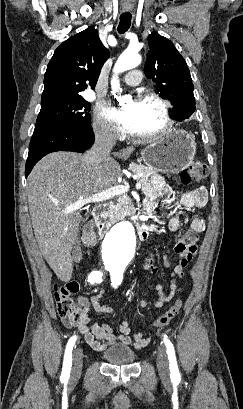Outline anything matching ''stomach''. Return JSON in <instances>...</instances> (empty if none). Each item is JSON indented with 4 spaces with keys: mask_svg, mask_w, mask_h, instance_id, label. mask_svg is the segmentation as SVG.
Returning <instances> with one entry per match:
<instances>
[{
    "mask_svg": "<svg viewBox=\"0 0 243 409\" xmlns=\"http://www.w3.org/2000/svg\"><path fill=\"white\" fill-rule=\"evenodd\" d=\"M195 153L194 137L184 130H172L146 146L141 155L144 163L154 171L176 173L192 163Z\"/></svg>",
    "mask_w": 243,
    "mask_h": 409,
    "instance_id": "stomach-1",
    "label": "stomach"
}]
</instances>
